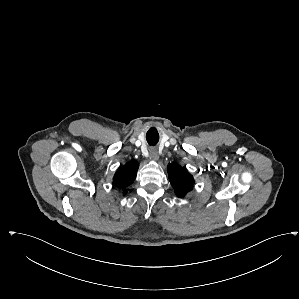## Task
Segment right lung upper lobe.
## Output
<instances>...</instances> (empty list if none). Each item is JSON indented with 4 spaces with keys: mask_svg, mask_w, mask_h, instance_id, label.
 <instances>
[{
    "mask_svg": "<svg viewBox=\"0 0 299 299\" xmlns=\"http://www.w3.org/2000/svg\"><path fill=\"white\" fill-rule=\"evenodd\" d=\"M138 167L139 165L135 161L128 162L124 166H121L114 175L113 185L118 188L125 189L127 186L132 184L135 180Z\"/></svg>",
    "mask_w": 299,
    "mask_h": 299,
    "instance_id": "right-lung-upper-lobe-1",
    "label": "right lung upper lobe"
}]
</instances>
